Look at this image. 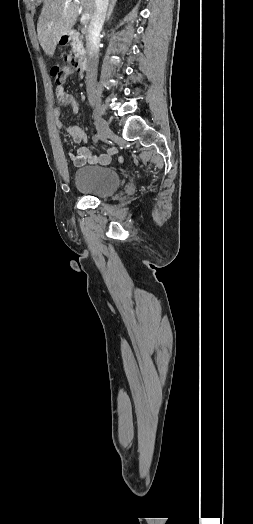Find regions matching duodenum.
<instances>
[{
  "label": "duodenum",
  "instance_id": "duodenum-1",
  "mask_svg": "<svg viewBox=\"0 0 253 524\" xmlns=\"http://www.w3.org/2000/svg\"><path fill=\"white\" fill-rule=\"evenodd\" d=\"M76 34L75 31H70L66 34V37L67 38H72L74 37V35ZM78 67L79 69H82L84 72L87 70L88 68V61H87V58L84 54H81L78 58Z\"/></svg>",
  "mask_w": 253,
  "mask_h": 524
}]
</instances>
